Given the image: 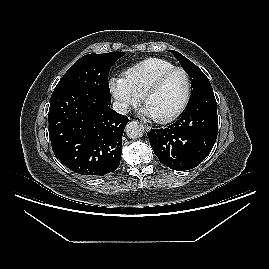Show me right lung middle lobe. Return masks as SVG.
Wrapping results in <instances>:
<instances>
[{"instance_id":"1","label":"right lung middle lobe","mask_w":269,"mask_h":269,"mask_svg":"<svg viewBox=\"0 0 269 269\" xmlns=\"http://www.w3.org/2000/svg\"><path fill=\"white\" fill-rule=\"evenodd\" d=\"M124 55V52L115 51L81 57L67 70L55 90L78 87L109 94V70Z\"/></svg>"}]
</instances>
